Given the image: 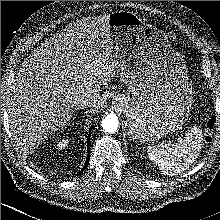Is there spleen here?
Masks as SVG:
<instances>
[{
    "label": "spleen",
    "instance_id": "1",
    "mask_svg": "<svg viewBox=\"0 0 220 220\" xmlns=\"http://www.w3.org/2000/svg\"><path fill=\"white\" fill-rule=\"evenodd\" d=\"M202 145V130L193 126L183 138H178V141L170 147L149 146L147 153L163 174L171 176L189 168L198 158Z\"/></svg>",
    "mask_w": 220,
    "mask_h": 220
}]
</instances>
